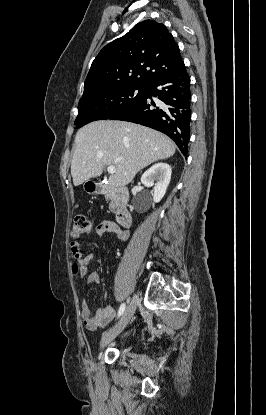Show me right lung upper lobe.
Instances as JSON below:
<instances>
[{"instance_id": "1", "label": "right lung upper lobe", "mask_w": 266, "mask_h": 415, "mask_svg": "<svg viewBox=\"0 0 266 415\" xmlns=\"http://www.w3.org/2000/svg\"><path fill=\"white\" fill-rule=\"evenodd\" d=\"M182 66L179 47L165 25L145 20L100 51L85 80L82 98L121 86L148 87Z\"/></svg>"}]
</instances>
